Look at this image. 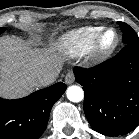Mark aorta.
<instances>
[{"instance_id": "obj_1", "label": "aorta", "mask_w": 139, "mask_h": 139, "mask_svg": "<svg viewBox=\"0 0 139 139\" xmlns=\"http://www.w3.org/2000/svg\"><path fill=\"white\" fill-rule=\"evenodd\" d=\"M67 98L74 103L80 102L84 99V91L80 86L72 85L66 90Z\"/></svg>"}]
</instances>
